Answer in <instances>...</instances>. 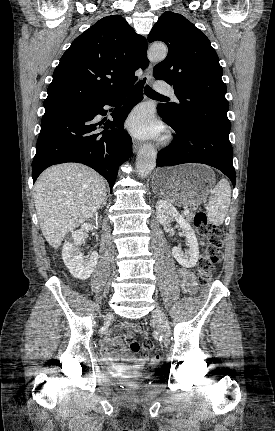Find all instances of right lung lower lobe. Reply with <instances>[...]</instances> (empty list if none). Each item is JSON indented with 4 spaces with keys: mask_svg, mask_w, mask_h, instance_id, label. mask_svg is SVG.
Wrapping results in <instances>:
<instances>
[{
    "mask_svg": "<svg viewBox=\"0 0 275 431\" xmlns=\"http://www.w3.org/2000/svg\"><path fill=\"white\" fill-rule=\"evenodd\" d=\"M144 82L145 79L106 99L46 109L32 162L33 182L51 165L78 162L100 173L112 189L119 165L132 154V140L123 124L131 109L143 99ZM125 96L128 98L120 107ZM104 105L119 108L112 113L113 121L96 122L98 114L107 113Z\"/></svg>",
    "mask_w": 275,
    "mask_h": 431,
    "instance_id": "obj_1",
    "label": "right lung lower lobe"
}]
</instances>
